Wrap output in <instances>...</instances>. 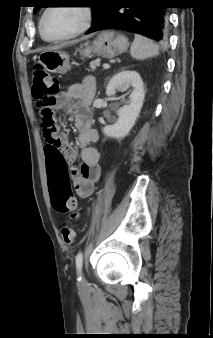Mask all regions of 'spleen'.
Returning <instances> with one entry per match:
<instances>
[{"label":"spleen","instance_id":"spleen-1","mask_svg":"<svg viewBox=\"0 0 213 338\" xmlns=\"http://www.w3.org/2000/svg\"><path fill=\"white\" fill-rule=\"evenodd\" d=\"M132 58L145 60L159 55V47L150 39L135 34L134 41L130 48Z\"/></svg>","mask_w":213,"mask_h":338}]
</instances>
